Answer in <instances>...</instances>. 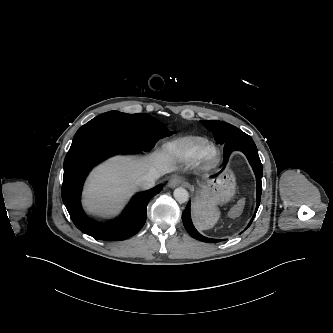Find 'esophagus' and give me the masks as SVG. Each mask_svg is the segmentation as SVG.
Listing matches in <instances>:
<instances>
[{"label":"esophagus","instance_id":"obj_1","mask_svg":"<svg viewBox=\"0 0 333 333\" xmlns=\"http://www.w3.org/2000/svg\"><path fill=\"white\" fill-rule=\"evenodd\" d=\"M181 183H182V179L177 175H173L168 182V187L175 188V187L179 186Z\"/></svg>","mask_w":333,"mask_h":333}]
</instances>
